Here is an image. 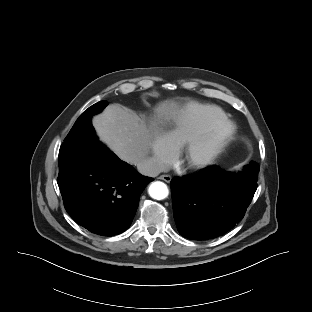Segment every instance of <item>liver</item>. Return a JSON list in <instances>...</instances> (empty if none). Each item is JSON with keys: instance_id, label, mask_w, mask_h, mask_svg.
<instances>
[{"instance_id": "6515ba94", "label": "liver", "mask_w": 312, "mask_h": 312, "mask_svg": "<svg viewBox=\"0 0 312 312\" xmlns=\"http://www.w3.org/2000/svg\"><path fill=\"white\" fill-rule=\"evenodd\" d=\"M177 109V103L165 101L155 110L158 119H169L176 114ZM92 122L100 141L121 160L136 165L146 158L152 132L135 113L113 104L94 116Z\"/></svg>"}]
</instances>
